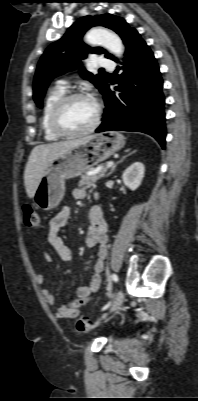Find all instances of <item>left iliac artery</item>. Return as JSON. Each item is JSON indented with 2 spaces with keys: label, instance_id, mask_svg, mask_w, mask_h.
<instances>
[{
  "label": "left iliac artery",
  "instance_id": "left-iliac-artery-1",
  "mask_svg": "<svg viewBox=\"0 0 198 401\" xmlns=\"http://www.w3.org/2000/svg\"><path fill=\"white\" fill-rule=\"evenodd\" d=\"M111 279L115 282L118 281V276L116 274H111ZM110 304H107L106 306L103 307V310L106 309Z\"/></svg>",
  "mask_w": 198,
  "mask_h": 401
}]
</instances>
